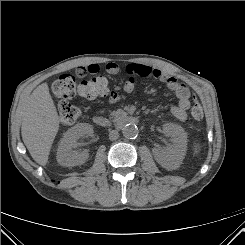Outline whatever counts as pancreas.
<instances>
[{"label":"pancreas","mask_w":245,"mask_h":245,"mask_svg":"<svg viewBox=\"0 0 245 245\" xmlns=\"http://www.w3.org/2000/svg\"><path fill=\"white\" fill-rule=\"evenodd\" d=\"M123 112L121 110H117V111H112L111 112V116L112 117H119Z\"/></svg>","instance_id":"1"}]
</instances>
